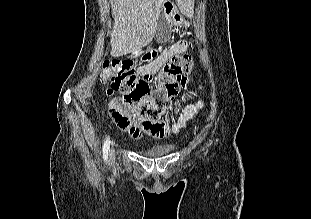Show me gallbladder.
<instances>
[{
  "mask_svg": "<svg viewBox=\"0 0 311 219\" xmlns=\"http://www.w3.org/2000/svg\"><path fill=\"white\" fill-rule=\"evenodd\" d=\"M170 33H171V24L166 19V17L163 14H161L157 22V32H156L157 40L159 42H165L166 40L169 39Z\"/></svg>",
  "mask_w": 311,
  "mask_h": 219,
  "instance_id": "1",
  "label": "gallbladder"
}]
</instances>
